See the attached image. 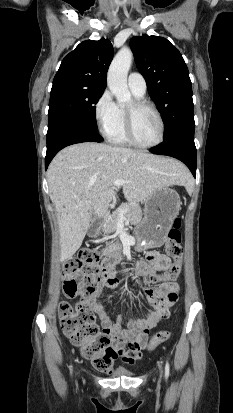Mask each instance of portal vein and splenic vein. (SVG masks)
<instances>
[{
    "mask_svg": "<svg viewBox=\"0 0 233 413\" xmlns=\"http://www.w3.org/2000/svg\"><path fill=\"white\" fill-rule=\"evenodd\" d=\"M124 184H125V181H124V180H121V179H118V180H115V181L112 182V186H113V187H121V186H124ZM124 212H125V211L120 210L119 218H120L121 220L124 219Z\"/></svg>",
    "mask_w": 233,
    "mask_h": 413,
    "instance_id": "18ae733b",
    "label": "portal vein and splenic vein"
}]
</instances>
